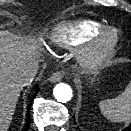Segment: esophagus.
<instances>
[{
    "label": "esophagus",
    "instance_id": "esophagus-1",
    "mask_svg": "<svg viewBox=\"0 0 131 131\" xmlns=\"http://www.w3.org/2000/svg\"><path fill=\"white\" fill-rule=\"evenodd\" d=\"M63 78V73L62 72H54L50 75L49 81L51 82H59Z\"/></svg>",
    "mask_w": 131,
    "mask_h": 131
}]
</instances>
